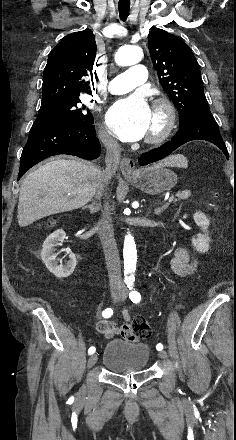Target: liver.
Listing matches in <instances>:
<instances>
[{
  "mask_svg": "<svg viewBox=\"0 0 236 440\" xmlns=\"http://www.w3.org/2000/svg\"><path fill=\"white\" fill-rule=\"evenodd\" d=\"M160 166L187 167V160L171 156ZM101 173L98 166L80 159H56L29 173L20 187L19 226L83 207L95 195Z\"/></svg>",
  "mask_w": 236,
  "mask_h": 440,
  "instance_id": "obj_1",
  "label": "liver"
}]
</instances>
